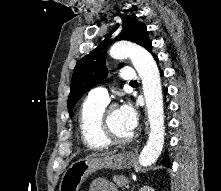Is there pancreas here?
<instances>
[{
    "label": "pancreas",
    "mask_w": 221,
    "mask_h": 191,
    "mask_svg": "<svg viewBox=\"0 0 221 191\" xmlns=\"http://www.w3.org/2000/svg\"><path fill=\"white\" fill-rule=\"evenodd\" d=\"M113 181L120 188H124V186H126L129 183L128 178L123 176V175H115V176H113Z\"/></svg>",
    "instance_id": "pancreas-1"
}]
</instances>
